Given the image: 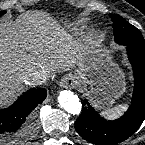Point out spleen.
<instances>
[{
    "mask_svg": "<svg viewBox=\"0 0 145 145\" xmlns=\"http://www.w3.org/2000/svg\"><path fill=\"white\" fill-rule=\"evenodd\" d=\"M125 109V106L123 105H119L116 106L110 110H108L106 113L109 117L111 118H115L116 116H118L119 114H121V112Z\"/></svg>",
    "mask_w": 145,
    "mask_h": 145,
    "instance_id": "1",
    "label": "spleen"
}]
</instances>
